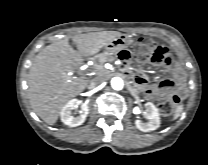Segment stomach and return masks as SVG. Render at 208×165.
Wrapping results in <instances>:
<instances>
[{"label":"stomach","mask_w":208,"mask_h":165,"mask_svg":"<svg viewBox=\"0 0 208 165\" xmlns=\"http://www.w3.org/2000/svg\"><path fill=\"white\" fill-rule=\"evenodd\" d=\"M131 43L132 39L129 36L121 35L120 37L106 44L105 50L116 54L126 49L129 45H131Z\"/></svg>","instance_id":"stomach-1"}]
</instances>
